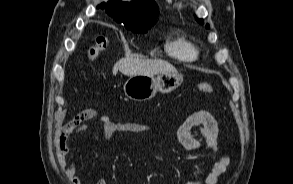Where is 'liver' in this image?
Here are the masks:
<instances>
[{"label": "liver", "mask_w": 293, "mask_h": 184, "mask_svg": "<svg viewBox=\"0 0 293 184\" xmlns=\"http://www.w3.org/2000/svg\"><path fill=\"white\" fill-rule=\"evenodd\" d=\"M118 70L127 76L155 75L163 72H177L176 68L163 60L122 58L113 67V74Z\"/></svg>", "instance_id": "liver-1"}]
</instances>
